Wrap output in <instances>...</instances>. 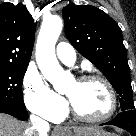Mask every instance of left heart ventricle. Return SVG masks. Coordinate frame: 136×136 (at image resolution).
Returning <instances> with one entry per match:
<instances>
[{
  "instance_id": "obj_1",
  "label": "left heart ventricle",
  "mask_w": 136,
  "mask_h": 136,
  "mask_svg": "<svg viewBox=\"0 0 136 136\" xmlns=\"http://www.w3.org/2000/svg\"><path fill=\"white\" fill-rule=\"evenodd\" d=\"M65 94L77 111L87 117L101 116L110 108L108 90L98 81H72L67 86Z\"/></svg>"
}]
</instances>
